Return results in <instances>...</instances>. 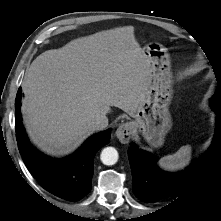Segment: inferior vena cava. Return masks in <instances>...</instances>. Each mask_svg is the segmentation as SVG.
<instances>
[{
	"label": "inferior vena cava",
	"instance_id": "obj_1",
	"mask_svg": "<svg viewBox=\"0 0 221 221\" xmlns=\"http://www.w3.org/2000/svg\"><path fill=\"white\" fill-rule=\"evenodd\" d=\"M90 126L95 130H102L108 126V118L106 114H97L90 121Z\"/></svg>",
	"mask_w": 221,
	"mask_h": 221
}]
</instances>
